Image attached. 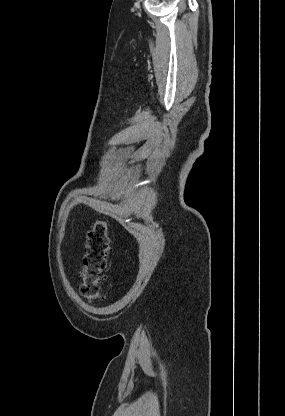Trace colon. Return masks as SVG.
<instances>
[{
	"instance_id": "5ec220e1",
	"label": "colon",
	"mask_w": 285,
	"mask_h": 416,
	"mask_svg": "<svg viewBox=\"0 0 285 416\" xmlns=\"http://www.w3.org/2000/svg\"><path fill=\"white\" fill-rule=\"evenodd\" d=\"M110 252V236L107 224L97 221L87 236V244L83 257L81 294L88 300L102 299L101 284L105 278L108 256Z\"/></svg>"
}]
</instances>
